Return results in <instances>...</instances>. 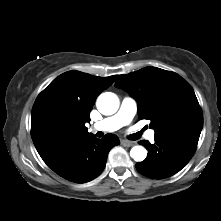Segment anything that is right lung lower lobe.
Returning a JSON list of instances; mask_svg holds the SVG:
<instances>
[{"instance_id":"obj_1","label":"right lung lower lobe","mask_w":221,"mask_h":221,"mask_svg":"<svg viewBox=\"0 0 221 221\" xmlns=\"http://www.w3.org/2000/svg\"><path fill=\"white\" fill-rule=\"evenodd\" d=\"M119 143L113 134L102 139L93 135L56 145L39 154L59 176L71 182L86 183L101 174L109 151Z\"/></svg>"}]
</instances>
